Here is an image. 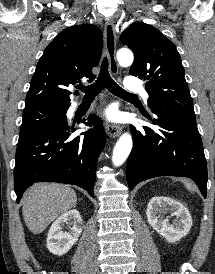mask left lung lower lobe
I'll return each instance as SVG.
<instances>
[{
  "label": "left lung lower lobe",
  "instance_id": "1",
  "mask_svg": "<svg viewBox=\"0 0 215 274\" xmlns=\"http://www.w3.org/2000/svg\"><path fill=\"white\" fill-rule=\"evenodd\" d=\"M154 128L131 126L133 149L127 161L130 190L141 181L158 176H181L195 181L204 198L207 163L195 114L166 106L151 107Z\"/></svg>",
  "mask_w": 215,
  "mask_h": 274
}]
</instances>
